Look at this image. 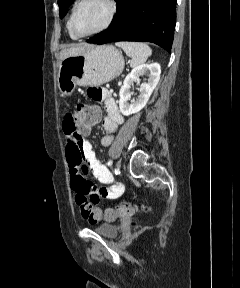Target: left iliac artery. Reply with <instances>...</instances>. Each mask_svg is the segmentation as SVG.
<instances>
[{
	"label": "left iliac artery",
	"mask_w": 240,
	"mask_h": 288,
	"mask_svg": "<svg viewBox=\"0 0 240 288\" xmlns=\"http://www.w3.org/2000/svg\"><path fill=\"white\" fill-rule=\"evenodd\" d=\"M112 163H113L112 160H109L108 163H107V165H108V166H111Z\"/></svg>",
	"instance_id": "1"
}]
</instances>
